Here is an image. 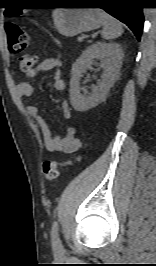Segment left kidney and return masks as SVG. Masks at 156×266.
Returning a JSON list of instances; mask_svg holds the SVG:
<instances>
[{
  "label": "left kidney",
  "instance_id": "5707ae66",
  "mask_svg": "<svg viewBox=\"0 0 156 266\" xmlns=\"http://www.w3.org/2000/svg\"><path fill=\"white\" fill-rule=\"evenodd\" d=\"M123 51L117 43L97 42L90 45L72 65L70 79V102L76 111L84 112L101 103L116 81L121 65ZM95 59L101 60L104 74L92 93L81 94L80 78L90 68Z\"/></svg>",
  "mask_w": 156,
  "mask_h": 266
}]
</instances>
